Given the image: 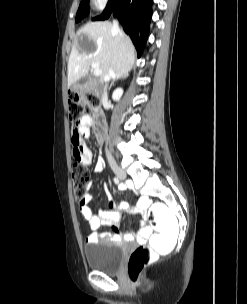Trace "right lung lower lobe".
<instances>
[{
  "label": "right lung lower lobe",
  "instance_id": "obj_1",
  "mask_svg": "<svg viewBox=\"0 0 247 304\" xmlns=\"http://www.w3.org/2000/svg\"><path fill=\"white\" fill-rule=\"evenodd\" d=\"M153 0H109L100 16L93 20H106L114 12L124 31L130 36L138 57L141 56L149 32Z\"/></svg>",
  "mask_w": 247,
  "mask_h": 304
}]
</instances>
